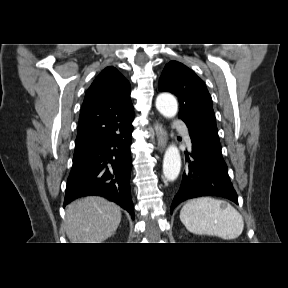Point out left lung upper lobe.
I'll use <instances>...</instances> for the list:
<instances>
[{
  "instance_id": "obj_1",
  "label": "left lung upper lobe",
  "mask_w": 288,
  "mask_h": 288,
  "mask_svg": "<svg viewBox=\"0 0 288 288\" xmlns=\"http://www.w3.org/2000/svg\"><path fill=\"white\" fill-rule=\"evenodd\" d=\"M159 90L178 97L179 117L190 130L221 146L211 96L205 83L192 70L180 62H169L161 74Z\"/></svg>"
}]
</instances>
